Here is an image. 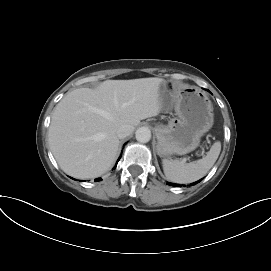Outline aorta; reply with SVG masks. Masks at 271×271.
<instances>
[{"label":"aorta","instance_id":"aorta-1","mask_svg":"<svg viewBox=\"0 0 271 271\" xmlns=\"http://www.w3.org/2000/svg\"><path fill=\"white\" fill-rule=\"evenodd\" d=\"M136 140L140 143H147L151 139V131L147 127H140L135 133Z\"/></svg>","mask_w":271,"mask_h":271}]
</instances>
